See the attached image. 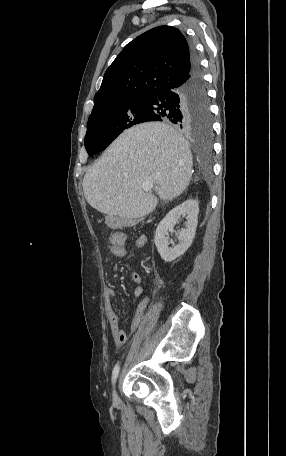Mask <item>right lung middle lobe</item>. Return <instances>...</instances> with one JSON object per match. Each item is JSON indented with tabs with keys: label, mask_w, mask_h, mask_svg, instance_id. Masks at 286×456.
Here are the masks:
<instances>
[{
	"label": "right lung middle lobe",
	"mask_w": 286,
	"mask_h": 456,
	"mask_svg": "<svg viewBox=\"0 0 286 456\" xmlns=\"http://www.w3.org/2000/svg\"><path fill=\"white\" fill-rule=\"evenodd\" d=\"M149 109L144 98L133 97L106 105L90 115L84 144L89 156L104 150L123 130L145 122ZM190 130L205 137L211 136L210 115L203 123L190 126Z\"/></svg>",
	"instance_id": "1"
}]
</instances>
